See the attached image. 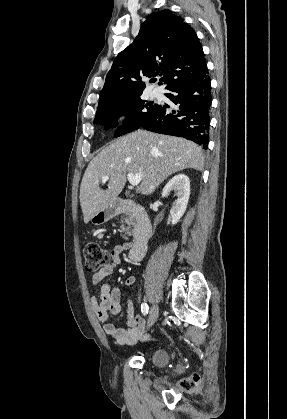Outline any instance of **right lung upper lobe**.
Masks as SVG:
<instances>
[{"mask_svg": "<svg viewBox=\"0 0 287 419\" xmlns=\"http://www.w3.org/2000/svg\"><path fill=\"white\" fill-rule=\"evenodd\" d=\"M206 71L204 53L192 27L169 10L156 12L147 17L134 42L115 58L98 109L140 97L144 77L163 75L167 89Z\"/></svg>", "mask_w": 287, "mask_h": 419, "instance_id": "cb5924a9", "label": "right lung upper lobe"}]
</instances>
